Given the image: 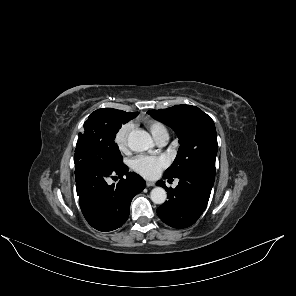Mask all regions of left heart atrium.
Returning a JSON list of instances; mask_svg holds the SVG:
<instances>
[{
	"instance_id": "obj_1",
	"label": "left heart atrium",
	"mask_w": 296,
	"mask_h": 296,
	"mask_svg": "<svg viewBox=\"0 0 296 296\" xmlns=\"http://www.w3.org/2000/svg\"><path fill=\"white\" fill-rule=\"evenodd\" d=\"M165 156L139 155L131 162L132 169L146 179L156 178L168 166Z\"/></svg>"
}]
</instances>
